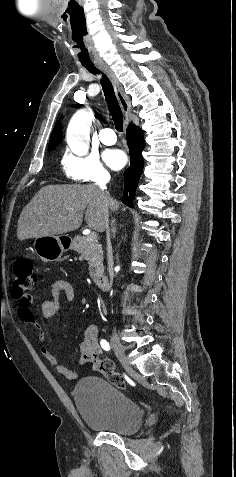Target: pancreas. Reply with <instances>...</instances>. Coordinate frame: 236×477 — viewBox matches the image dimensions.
Here are the masks:
<instances>
[{"mask_svg":"<svg viewBox=\"0 0 236 477\" xmlns=\"http://www.w3.org/2000/svg\"><path fill=\"white\" fill-rule=\"evenodd\" d=\"M71 248L88 261L89 274L93 280L103 276V252L95 240L87 241L86 237L76 236L71 242Z\"/></svg>","mask_w":236,"mask_h":477,"instance_id":"pancreas-1","label":"pancreas"}]
</instances>
